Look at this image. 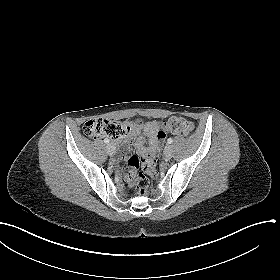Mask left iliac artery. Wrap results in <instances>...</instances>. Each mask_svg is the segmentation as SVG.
Masks as SVG:
<instances>
[{"mask_svg": "<svg viewBox=\"0 0 280 280\" xmlns=\"http://www.w3.org/2000/svg\"><path fill=\"white\" fill-rule=\"evenodd\" d=\"M167 142H168V144H171V143L173 142V139H172V138H169V139L167 140Z\"/></svg>", "mask_w": 280, "mask_h": 280, "instance_id": "left-iliac-artery-1", "label": "left iliac artery"}]
</instances>
